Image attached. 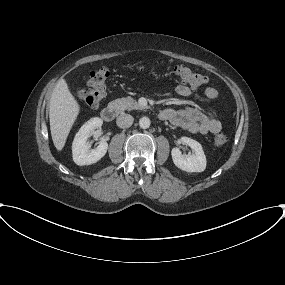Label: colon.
I'll use <instances>...</instances> for the list:
<instances>
[{"instance_id":"obj_1","label":"colon","mask_w":285,"mask_h":285,"mask_svg":"<svg viewBox=\"0 0 285 285\" xmlns=\"http://www.w3.org/2000/svg\"><path fill=\"white\" fill-rule=\"evenodd\" d=\"M142 70V67H138ZM171 73L182 83L197 88L208 82V77L204 74L192 71L186 66L177 64L172 66ZM110 72L107 68H98L89 74V79L85 87L76 90V95L88 106L97 107L106 93V82ZM227 143V137L219 133L214 138V145L221 147Z\"/></svg>"}]
</instances>
